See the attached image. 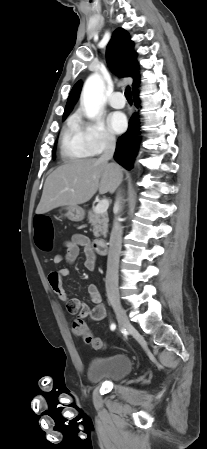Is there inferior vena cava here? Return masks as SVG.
I'll use <instances>...</instances> for the list:
<instances>
[{
  "instance_id": "602c4592",
  "label": "inferior vena cava",
  "mask_w": 207,
  "mask_h": 449,
  "mask_svg": "<svg viewBox=\"0 0 207 449\" xmlns=\"http://www.w3.org/2000/svg\"><path fill=\"white\" fill-rule=\"evenodd\" d=\"M115 138L113 136H108L106 138V144L103 154L100 157L102 161H108L112 159L115 151ZM116 206L118 207V212L116 213L113 228L110 236V247L107 260V273H106V292L107 295L118 296V267H119V257L122 247V232L123 228L119 221L118 214L121 211L120 197L118 195L116 200Z\"/></svg>"
}]
</instances>
